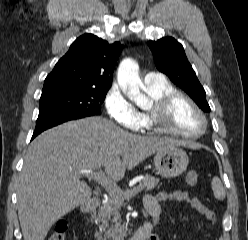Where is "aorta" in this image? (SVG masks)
<instances>
[{"instance_id": "aorta-1", "label": "aorta", "mask_w": 248, "mask_h": 240, "mask_svg": "<svg viewBox=\"0 0 248 240\" xmlns=\"http://www.w3.org/2000/svg\"><path fill=\"white\" fill-rule=\"evenodd\" d=\"M117 80L123 93L138 106L148 102L147 97L140 91L139 66L134 60L126 58L120 63Z\"/></svg>"}]
</instances>
